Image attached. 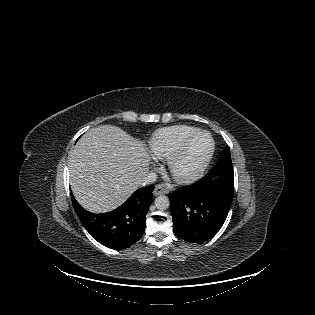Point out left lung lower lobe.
<instances>
[{"mask_svg": "<svg viewBox=\"0 0 315 315\" xmlns=\"http://www.w3.org/2000/svg\"><path fill=\"white\" fill-rule=\"evenodd\" d=\"M234 194V175L212 176L183 186L170 195L175 234L200 243L213 237L223 226Z\"/></svg>", "mask_w": 315, "mask_h": 315, "instance_id": "left-lung-lower-lobe-1", "label": "left lung lower lobe"}]
</instances>
